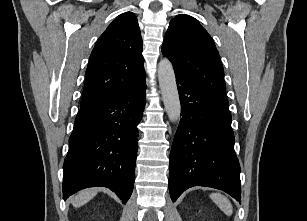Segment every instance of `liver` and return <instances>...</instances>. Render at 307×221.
<instances>
[{"mask_svg": "<svg viewBox=\"0 0 307 221\" xmlns=\"http://www.w3.org/2000/svg\"><path fill=\"white\" fill-rule=\"evenodd\" d=\"M96 189H89L79 192L72 201V204L75 208H78L87 202H89L94 196H96Z\"/></svg>", "mask_w": 307, "mask_h": 221, "instance_id": "6515ba94", "label": "liver"}]
</instances>
